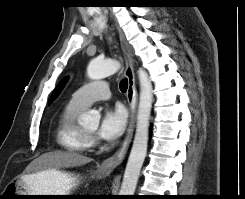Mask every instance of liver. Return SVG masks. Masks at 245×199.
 <instances>
[{
  "instance_id": "obj_1",
  "label": "liver",
  "mask_w": 245,
  "mask_h": 199,
  "mask_svg": "<svg viewBox=\"0 0 245 199\" xmlns=\"http://www.w3.org/2000/svg\"><path fill=\"white\" fill-rule=\"evenodd\" d=\"M91 161H92L91 158L76 152L61 151V150L48 152L42 154L35 161L33 173L26 176H32L38 172L47 169H61V168L76 167V166L87 164Z\"/></svg>"
}]
</instances>
